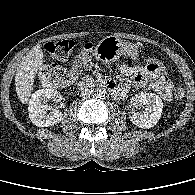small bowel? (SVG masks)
<instances>
[{
	"label": "small bowel",
	"instance_id": "small-bowel-1",
	"mask_svg": "<svg viewBox=\"0 0 195 195\" xmlns=\"http://www.w3.org/2000/svg\"><path fill=\"white\" fill-rule=\"evenodd\" d=\"M119 71L126 76H131L133 82L140 87H148L154 90L164 101L172 99V83L168 78H158L149 74L141 65L130 66L121 64ZM128 91L127 85L118 87L117 92L114 94L116 97H124Z\"/></svg>",
	"mask_w": 195,
	"mask_h": 195
}]
</instances>
